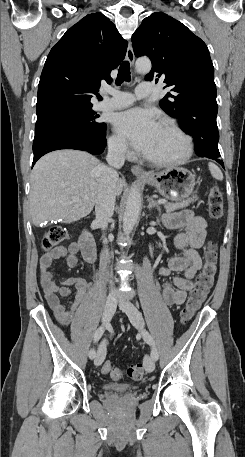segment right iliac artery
Wrapping results in <instances>:
<instances>
[{"mask_svg":"<svg viewBox=\"0 0 245 457\" xmlns=\"http://www.w3.org/2000/svg\"><path fill=\"white\" fill-rule=\"evenodd\" d=\"M104 332H105V326L102 325L96 330V332L94 334V339H93L94 343H96L100 340V338L103 336ZM95 355H96L95 349L92 348L89 351V358L93 359V358H95Z\"/></svg>","mask_w":245,"mask_h":457,"instance_id":"82829eb1","label":"right iliac artery"}]
</instances>
